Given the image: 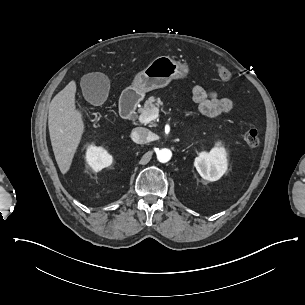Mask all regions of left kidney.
<instances>
[{
    "mask_svg": "<svg viewBox=\"0 0 305 305\" xmlns=\"http://www.w3.org/2000/svg\"><path fill=\"white\" fill-rule=\"evenodd\" d=\"M194 166L203 179L219 180L228 169L227 153L225 148L221 146V142H217L209 153L200 152L195 158Z\"/></svg>",
    "mask_w": 305,
    "mask_h": 305,
    "instance_id": "5707ae66",
    "label": "left kidney"
}]
</instances>
